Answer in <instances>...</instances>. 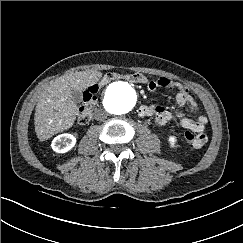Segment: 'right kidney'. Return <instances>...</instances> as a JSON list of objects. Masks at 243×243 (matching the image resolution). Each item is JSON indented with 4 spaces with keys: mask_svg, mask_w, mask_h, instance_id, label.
<instances>
[{
    "mask_svg": "<svg viewBox=\"0 0 243 243\" xmlns=\"http://www.w3.org/2000/svg\"><path fill=\"white\" fill-rule=\"evenodd\" d=\"M76 144V138L72 134L64 133L56 136L52 141V149L57 153H66Z\"/></svg>",
    "mask_w": 243,
    "mask_h": 243,
    "instance_id": "1",
    "label": "right kidney"
}]
</instances>
